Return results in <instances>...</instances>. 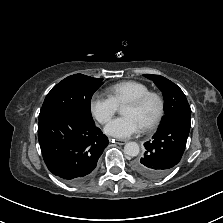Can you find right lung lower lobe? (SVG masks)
<instances>
[{
  "label": "right lung lower lobe",
  "instance_id": "obj_1",
  "mask_svg": "<svg viewBox=\"0 0 223 223\" xmlns=\"http://www.w3.org/2000/svg\"><path fill=\"white\" fill-rule=\"evenodd\" d=\"M38 140L49 171L71 184H80L93 174L109 143L94 121L71 111L40 119Z\"/></svg>",
  "mask_w": 223,
  "mask_h": 223
}]
</instances>
